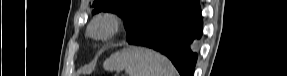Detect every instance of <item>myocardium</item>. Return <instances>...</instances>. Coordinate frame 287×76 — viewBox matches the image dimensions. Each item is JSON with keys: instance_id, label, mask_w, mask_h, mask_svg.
<instances>
[{"instance_id": "myocardium-1", "label": "myocardium", "mask_w": 287, "mask_h": 76, "mask_svg": "<svg viewBox=\"0 0 287 76\" xmlns=\"http://www.w3.org/2000/svg\"><path fill=\"white\" fill-rule=\"evenodd\" d=\"M122 25L121 18L113 13H105L93 19L89 34L96 40L107 41L115 36Z\"/></svg>"}]
</instances>
